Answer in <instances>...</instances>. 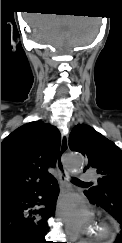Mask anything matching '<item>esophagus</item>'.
Listing matches in <instances>:
<instances>
[{
	"mask_svg": "<svg viewBox=\"0 0 122 243\" xmlns=\"http://www.w3.org/2000/svg\"><path fill=\"white\" fill-rule=\"evenodd\" d=\"M68 150V136L66 134H62L61 136V146L60 152L56 162V168L59 175V181L61 186V196L64 197L69 186V173L64 165V157ZM61 204L58 206V214L64 219V216L61 211ZM65 220V219H64ZM65 233L70 243H74L78 239V234L73 232L68 225H65Z\"/></svg>",
	"mask_w": 122,
	"mask_h": 243,
	"instance_id": "34e87169",
	"label": "esophagus"
}]
</instances>
